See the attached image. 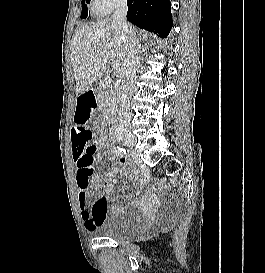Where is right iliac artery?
I'll use <instances>...</instances> for the list:
<instances>
[{"label": "right iliac artery", "instance_id": "1", "mask_svg": "<svg viewBox=\"0 0 265 273\" xmlns=\"http://www.w3.org/2000/svg\"><path fill=\"white\" fill-rule=\"evenodd\" d=\"M113 152L116 156L122 157L126 153V150L117 146L113 148Z\"/></svg>", "mask_w": 265, "mask_h": 273}]
</instances>
